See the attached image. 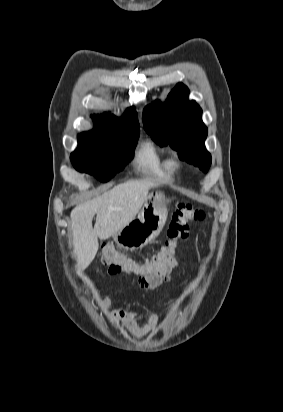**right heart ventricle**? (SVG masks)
Returning a JSON list of instances; mask_svg holds the SVG:
<instances>
[{"mask_svg": "<svg viewBox=\"0 0 283 412\" xmlns=\"http://www.w3.org/2000/svg\"><path fill=\"white\" fill-rule=\"evenodd\" d=\"M134 162L139 170L157 181H169L173 177L174 167L171 156L160 151L150 141L140 145Z\"/></svg>", "mask_w": 283, "mask_h": 412, "instance_id": "right-heart-ventricle-1", "label": "right heart ventricle"}]
</instances>
